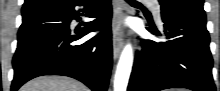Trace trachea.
<instances>
[{
  "instance_id": "obj_1",
  "label": "trachea",
  "mask_w": 220,
  "mask_h": 91,
  "mask_svg": "<svg viewBox=\"0 0 220 91\" xmlns=\"http://www.w3.org/2000/svg\"><path fill=\"white\" fill-rule=\"evenodd\" d=\"M127 2L132 4V5L142 7V5L139 2L135 1V0H128Z\"/></svg>"
}]
</instances>
